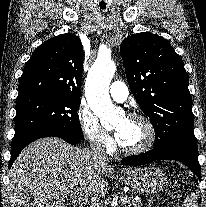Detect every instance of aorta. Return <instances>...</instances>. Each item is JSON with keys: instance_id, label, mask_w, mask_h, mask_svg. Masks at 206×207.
<instances>
[{"instance_id": "aorta-1", "label": "aorta", "mask_w": 206, "mask_h": 207, "mask_svg": "<svg viewBox=\"0 0 206 207\" xmlns=\"http://www.w3.org/2000/svg\"><path fill=\"white\" fill-rule=\"evenodd\" d=\"M116 71V64L110 58L98 57L85 83V96L92 112L107 126L115 121L118 110L111 102L109 84Z\"/></svg>"}]
</instances>
